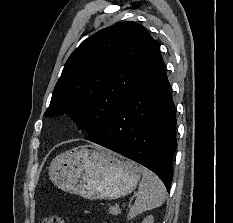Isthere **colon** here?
<instances>
[{
  "mask_svg": "<svg viewBox=\"0 0 233 223\" xmlns=\"http://www.w3.org/2000/svg\"><path fill=\"white\" fill-rule=\"evenodd\" d=\"M42 223H65V219L62 216L52 215L44 218Z\"/></svg>",
  "mask_w": 233,
  "mask_h": 223,
  "instance_id": "obj_1",
  "label": "colon"
}]
</instances>
